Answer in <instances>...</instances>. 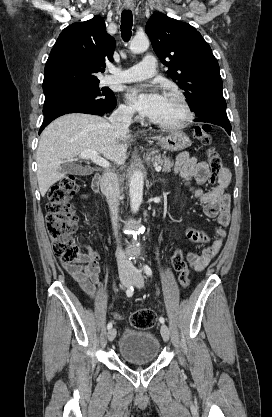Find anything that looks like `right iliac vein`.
Instances as JSON below:
<instances>
[{
    "instance_id": "right-iliac-vein-1",
    "label": "right iliac vein",
    "mask_w": 272,
    "mask_h": 417,
    "mask_svg": "<svg viewBox=\"0 0 272 417\" xmlns=\"http://www.w3.org/2000/svg\"><path fill=\"white\" fill-rule=\"evenodd\" d=\"M121 282H122L123 286L127 287L131 283V277L130 276H125V277H123L121 279ZM107 336H108V340L109 341H113L115 339V337H116V329L115 328H111L108 331Z\"/></svg>"
}]
</instances>
